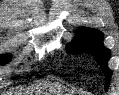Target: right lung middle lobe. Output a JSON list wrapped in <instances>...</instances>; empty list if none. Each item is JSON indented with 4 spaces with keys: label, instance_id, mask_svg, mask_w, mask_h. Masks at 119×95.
<instances>
[{
    "label": "right lung middle lobe",
    "instance_id": "dd1d6c3e",
    "mask_svg": "<svg viewBox=\"0 0 119 95\" xmlns=\"http://www.w3.org/2000/svg\"><path fill=\"white\" fill-rule=\"evenodd\" d=\"M9 59H10L9 56H6V55L0 56V64H4V63L8 62Z\"/></svg>",
    "mask_w": 119,
    "mask_h": 95
}]
</instances>
